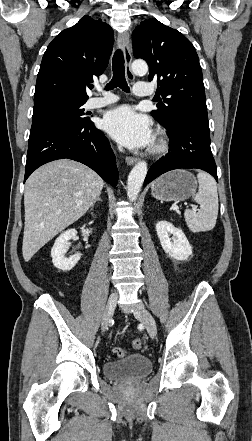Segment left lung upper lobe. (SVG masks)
I'll return each instance as SVG.
<instances>
[{
	"label": "left lung upper lobe",
	"instance_id": "left-lung-upper-lobe-1",
	"mask_svg": "<svg viewBox=\"0 0 252 441\" xmlns=\"http://www.w3.org/2000/svg\"><path fill=\"white\" fill-rule=\"evenodd\" d=\"M132 43L134 57L148 63V79L157 81L163 97L151 115L165 128L187 114L208 119L202 71L193 44L157 19L141 22L132 33Z\"/></svg>",
	"mask_w": 252,
	"mask_h": 441
}]
</instances>
